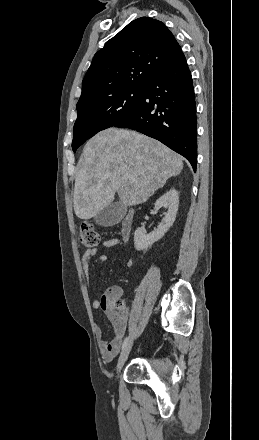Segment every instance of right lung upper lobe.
Here are the masks:
<instances>
[{
	"label": "right lung upper lobe",
	"mask_w": 259,
	"mask_h": 440,
	"mask_svg": "<svg viewBox=\"0 0 259 440\" xmlns=\"http://www.w3.org/2000/svg\"><path fill=\"white\" fill-rule=\"evenodd\" d=\"M182 55L180 45L161 21L148 17L132 21L94 55L77 108L120 90L148 88Z\"/></svg>",
	"instance_id": "cb5924a9"
}]
</instances>
